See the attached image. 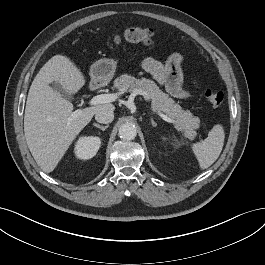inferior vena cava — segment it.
<instances>
[{"label":"inferior vena cava","mask_w":265,"mask_h":265,"mask_svg":"<svg viewBox=\"0 0 265 265\" xmlns=\"http://www.w3.org/2000/svg\"><path fill=\"white\" fill-rule=\"evenodd\" d=\"M95 119L99 123H103V124L111 123L114 119V112H113V110H111L109 108L99 110L95 114Z\"/></svg>","instance_id":"602c4592"}]
</instances>
